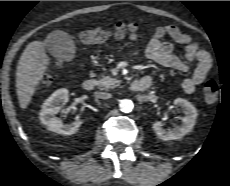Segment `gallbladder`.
Listing matches in <instances>:
<instances>
[{"label": "gallbladder", "mask_w": 230, "mask_h": 186, "mask_svg": "<svg viewBox=\"0 0 230 186\" xmlns=\"http://www.w3.org/2000/svg\"><path fill=\"white\" fill-rule=\"evenodd\" d=\"M46 45L50 54L60 61H70L74 57L75 45L67 33L54 31L46 39Z\"/></svg>", "instance_id": "1"}]
</instances>
